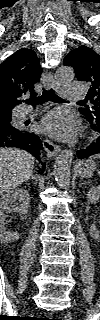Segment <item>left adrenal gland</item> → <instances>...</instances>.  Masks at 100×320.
I'll return each mask as SVG.
<instances>
[{
	"label": "left adrenal gland",
	"mask_w": 100,
	"mask_h": 320,
	"mask_svg": "<svg viewBox=\"0 0 100 320\" xmlns=\"http://www.w3.org/2000/svg\"><path fill=\"white\" fill-rule=\"evenodd\" d=\"M85 183H82V181H79V186L84 185Z\"/></svg>",
	"instance_id": "obj_1"
}]
</instances>
